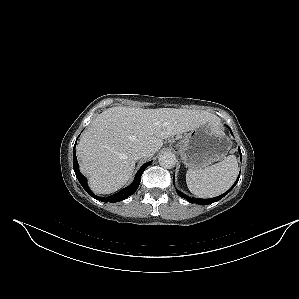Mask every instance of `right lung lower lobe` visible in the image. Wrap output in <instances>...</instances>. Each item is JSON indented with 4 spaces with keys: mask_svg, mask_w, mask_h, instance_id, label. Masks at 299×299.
<instances>
[{
    "mask_svg": "<svg viewBox=\"0 0 299 299\" xmlns=\"http://www.w3.org/2000/svg\"><path fill=\"white\" fill-rule=\"evenodd\" d=\"M151 164L150 162L145 163L144 165H142V167L139 169V171L137 172L134 181L131 185H129L128 187L122 189L120 192L113 194L107 198H102V197H98L96 196L94 193H92V191L89 189L88 185H87V179L84 175H82L79 171V164L76 158V154H75V146L73 149V168L76 174V177L78 179V181L80 182V184L82 185V187L87 191V193L94 197L95 199L102 201V202H119L122 201L124 199H126L127 197H129L130 195H132L138 188L140 181H141V176L142 173L144 172V170Z\"/></svg>",
    "mask_w": 299,
    "mask_h": 299,
    "instance_id": "right-lung-lower-lobe-1",
    "label": "right lung lower lobe"
}]
</instances>
